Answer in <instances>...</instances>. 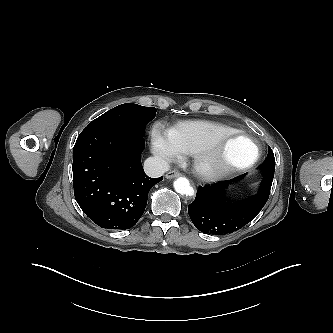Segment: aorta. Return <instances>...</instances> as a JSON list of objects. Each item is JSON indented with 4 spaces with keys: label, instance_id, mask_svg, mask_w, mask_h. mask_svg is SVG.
Listing matches in <instances>:
<instances>
[{
    "label": "aorta",
    "instance_id": "762f6f07",
    "mask_svg": "<svg viewBox=\"0 0 333 333\" xmlns=\"http://www.w3.org/2000/svg\"><path fill=\"white\" fill-rule=\"evenodd\" d=\"M174 188L178 193L186 196H193L194 189L191 186L189 180L185 177H179L174 181Z\"/></svg>",
    "mask_w": 333,
    "mask_h": 333
}]
</instances>
